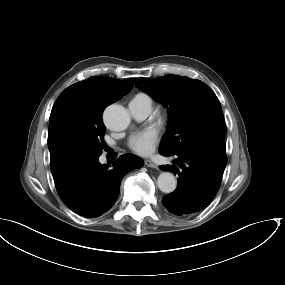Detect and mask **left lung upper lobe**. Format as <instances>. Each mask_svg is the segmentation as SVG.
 I'll return each instance as SVG.
<instances>
[{
    "instance_id": "left-lung-upper-lobe-1",
    "label": "left lung upper lobe",
    "mask_w": 285,
    "mask_h": 285,
    "mask_svg": "<svg viewBox=\"0 0 285 285\" xmlns=\"http://www.w3.org/2000/svg\"><path fill=\"white\" fill-rule=\"evenodd\" d=\"M136 86L168 107V131L159 152L175 155L207 149L225 153V123L220 102L202 81L167 75L139 78Z\"/></svg>"
}]
</instances>
